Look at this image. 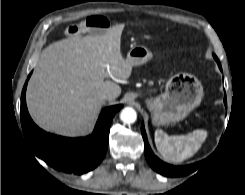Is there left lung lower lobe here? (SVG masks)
Returning <instances> with one entry per match:
<instances>
[{"label": "left lung lower lobe", "instance_id": "left-lung-lower-lobe-1", "mask_svg": "<svg viewBox=\"0 0 245 195\" xmlns=\"http://www.w3.org/2000/svg\"><path fill=\"white\" fill-rule=\"evenodd\" d=\"M218 66L221 69L220 62H218ZM224 102L226 104V96L224 98ZM141 132L144 139V152L146 160L151 166V168L154 169L156 172L167 177H179L192 173L197 169L198 163L186 166H173L161 161L157 156L154 155L148 144L143 124L141 126Z\"/></svg>", "mask_w": 245, "mask_h": 195}]
</instances>
